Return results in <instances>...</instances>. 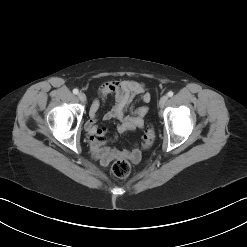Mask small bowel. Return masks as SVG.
Wrapping results in <instances>:
<instances>
[{"instance_id":"c3829d8e","label":"small bowel","mask_w":247,"mask_h":247,"mask_svg":"<svg viewBox=\"0 0 247 247\" xmlns=\"http://www.w3.org/2000/svg\"><path fill=\"white\" fill-rule=\"evenodd\" d=\"M100 98L93 101L89 110V120L85 129L90 137L93 155L100 160L102 166H107L115 159H128L133 163L139 162L141 153L137 146L133 149H117L110 147L107 142V129L97 124V113L100 102L109 96L115 100L114 106L104 115L105 121H117L118 133L131 132L141 129L148 113L147 106L133 108L135 99L148 103L151 99L146 87L137 81H108L99 90ZM128 112V114H127Z\"/></svg>"}]
</instances>
